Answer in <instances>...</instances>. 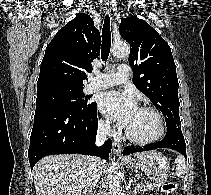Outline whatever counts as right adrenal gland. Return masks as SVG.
Masks as SVG:
<instances>
[{
	"instance_id": "2a0ac1e0",
	"label": "right adrenal gland",
	"mask_w": 211,
	"mask_h": 195,
	"mask_svg": "<svg viewBox=\"0 0 211 195\" xmlns=\"http://www.w3.org/2000/svg\"><path fill=\"white\" fill-rule=\"evenodd\" d=\"M85 195H87V194H85ZM89 195H94V193L92 191H89Z\"/></svg>"
}]
</instances>
